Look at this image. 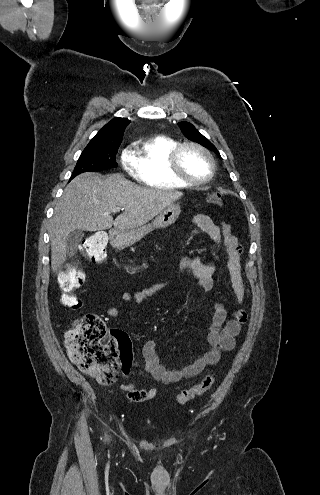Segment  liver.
<instances>
[{
	"instance_id": "6515ba94",
	"label": "liver",
	"mask_w": 320,
	"mask_h": 495,
	"mask_svg": "<svg viewBox=\"0 0 320 495\" xmlns=\"http://www.w3.org/2000/svg\"><path fill=\"white\" fill-rule=\"evenodd\" d=\"M182 196L179 191L140 187L120 174L103 180L93 173L77 176L65 188L51 220L52 271L58 272L66 260L70 232L141 227ZM116 207L125 211L113 220L111 212Z\"/></svg>"
}]
</instances>
